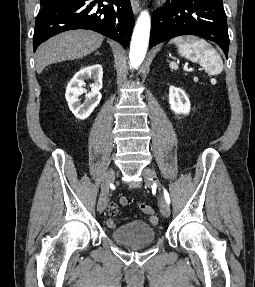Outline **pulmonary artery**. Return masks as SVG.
Here are the masks:
<instances>
[{"label":"pulmonary artery","mask_w":255,"mask_h":287,"mask_svg":"<svg viewBox=\"0 0 255 287\" xmlns=\"http://www.w3.org/2000/svg\"><path fill=\"white\" fill-rule=\"evenodd\" d=\"M115 33H124V32H115ZM119 39H122V38H119Z\"/></svg>","instance_id":"obj_1"}]
</instances>
